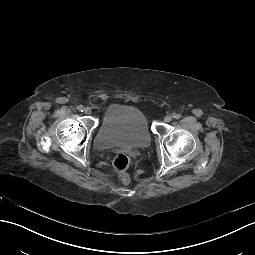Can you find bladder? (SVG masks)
<instances>
[{
  "label": "bladder",
  "mask_w": 255,
  "mask_h": 255,
  "mask_svg": "<svg viewBox=\"0 0 255 255\" xmlns=\"http://www.w3.org/2000/svg\"><path fill=\"white\" fill-rule=\"evenodd\" d=\"M151 130L142 110L134 106L115 105L103 118L96 137L101 149L141 147L150 144Z\"/></svg>",
  "instance_id": "31cf9c89"
}]
</instances>
